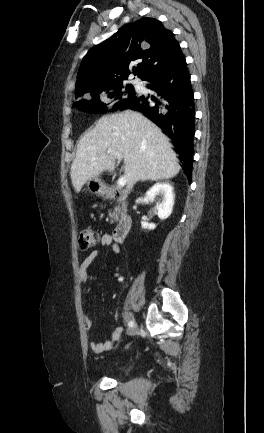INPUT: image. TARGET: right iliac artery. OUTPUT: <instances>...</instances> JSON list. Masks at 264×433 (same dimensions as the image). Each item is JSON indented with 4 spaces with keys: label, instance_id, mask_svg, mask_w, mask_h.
<instances>
[{
    "label": "right iliac artery",
    "instance_id": "82829eb1",
    "mask_svg": "<svg viewBox=\"0 0 264 433\" xmlns=\"http://www.w3.org/2000/svg\"><path fill=\"white\" fill-rule=\"evenodd\" d=\"M133 325H134V322H133L132 320H130V321L128 322V326H129V327H133Z\"/></svg>",
    "mask_w": 264,
    "mask_h": 433
}]
</instances>
